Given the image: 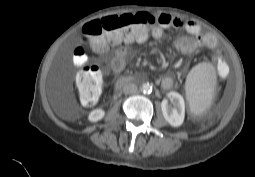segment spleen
I'll return each mask as SVG.
<instances>
[{
  "label": "spleen",
  "mask_w": 255,
  "mask_h": 177,
  "mask_svg": "<svg viewBox=\"0 0 255 177\" xmlns=\"http://www.w3.org/2000/svg\"><path fill=\"white\" fill-rule=\"evenodd\" d=\"M215 84V69L212 64L203 62L191 69L185 86L192 113L200 115L210 107Z\"/></svg>",
  "instance_id": "1"
}]
</instances>
